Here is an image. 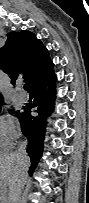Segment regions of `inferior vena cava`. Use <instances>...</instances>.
I'll return each mask as SVG.
<instances>
[{
  "mask_svg": "<svg viewBox=\"0 0 89 203\" xmlns=\"http://www.w3.org/2000/svg\"><path fill=\"white\" fill-rule=\"evenodd\" d=\"M26 146H27V142L26 141L22 142L18 148V152L16 153L17 157L19 158V160L22 163V166L20 169L21 180L18 182V186H17L16 194L14 196L13 203H20L21 189L24 185V177L28 170L27 169L28 156H27V152H26Z\"/></svg>",
  "mask_w": 89,
  "mask_h": 203,
  "instance_id": "obj_1",
  "label": "inferior vena cava"
}]
</instances>
